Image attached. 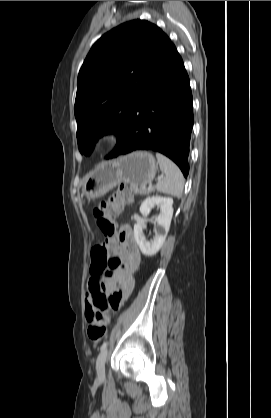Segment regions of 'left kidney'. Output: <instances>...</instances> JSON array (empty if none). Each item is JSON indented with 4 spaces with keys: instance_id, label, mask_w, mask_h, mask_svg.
I'll return each instance as SVG.
<instances>
[{
    "instance_id": "5707ae66",
    "label": "left kidney",
    "mask_w": 271,
    "mask_h": 418,
    "mask_svg": "<svg viewBox=\"0 0 271 418\" xmlns=\"http://www.w3.org/2000/svg\"><path fill=\"white\" fill-rule=\"evenodd\" d=\"M172 205L173 199L170 197L152 196L146 198L142 202L140 212L143 217H147L151 209L155 206L160 209L159 215L155 217V221L159 228L155 230V237L152 241H146L144 238V220H141L134 225V237L143 255L153 256L162 247L168 234L173 216Z\"/></svg>"
}]
</instances>
